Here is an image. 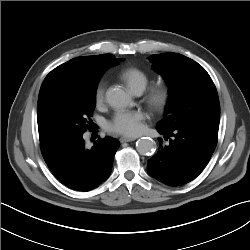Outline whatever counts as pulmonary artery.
Returning a JSON list of instances; mask_svg holds the SVG:
<instances>
[{
	"mask_svg": "<svg viewBox=\"0 0 250 250\" xmlns=\"http://www.w3.org/2000/svg\"><path fill=\"white\" fill-rule=\"evenodd\" d=\"M136 94H140L141 92H139V91H137V92H135Z\"/></svg>",
	"mask_w": 250,
	"mask_h": 250,
	"instance_id": "1",
	"label": "pulmonary artery"
}]
</instances>
